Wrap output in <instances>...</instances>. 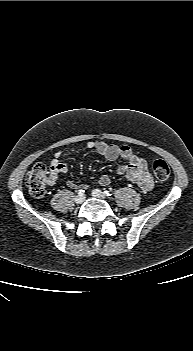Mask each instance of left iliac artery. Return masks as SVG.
I'll use <instances>...</instances> for the list:
<instances>
[{
	"mask_svg": "<svg viewBox=\"0 0 193 351\" xmlns=\"http://www.w3.org/2000/svg\"><path fill=\"white\" fill-rule=\"evenodd\" d=\"M104 194H105L106 196H111V195H112L111 192L108 191V190H105V191H104Z\"/></svg>",
	"mask_w": 193,
	"mask_h": 351,
	"instance_id": "44dca946",
	"label": "left iliac artery"
}]
</instances>
